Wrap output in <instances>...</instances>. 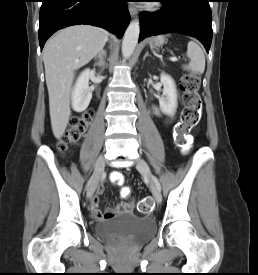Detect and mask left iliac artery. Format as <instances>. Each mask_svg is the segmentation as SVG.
I'll list each match as a JSON object with an SVG mask.
<instances>
[{"mask_svg": "<svg viewBox=\"0 0 258 275\" xmlns=\"http://www.w3.org/2000/svg\"><path fill=\"white\" fill-rule=\"evenodd\" d=\"M153 179H154V181L156 182L158 188L161 189L160 183L158 182L157 178H156V177H153Z\"/></svg>", "mask_w": 258, "mask_h": 275, "instance_id": "1", "label": "left iliac artery"}]
</instances>
